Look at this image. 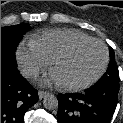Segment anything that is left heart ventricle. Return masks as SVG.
I'll return each instance as SVG.
<instances>
[{"label": "left heart ventricle", "mask_w": 123, "mask_h": 123, "mask_svg": "<svg viewBox=\"0 0 123 123\" xmlns=\"http://www.w3.org/2000/svg\"><path fill=\"white\" fill-rule=\"evenodd\" d=\"M103 59V48L97 43H88L58 62L53 71L63 84H80L98 72Z\"/></svg>", "instance_id": "obj_1"}]
</instances>
